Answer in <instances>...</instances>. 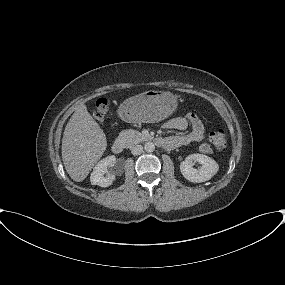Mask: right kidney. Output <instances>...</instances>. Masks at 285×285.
<instances>
[{"label":"right kidney","mask_w":285,"mask_h":285,"mask_svg":"<svg viewBox=\"0 0 285 285\" xmlns=\"http://www.w3.org/2000/svg\"><path fill=\"white\" fill-rule=\"evenodd\" d=\"M115 163V156H109L100 160L91 173V184L98 185L100 187H108L112 185L113 181L115 180V175L108 173L107 167L114 166Z\"/></svg>","instance_id":"ca27d5eb"}]
</instances>
